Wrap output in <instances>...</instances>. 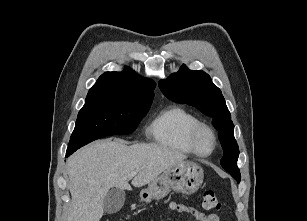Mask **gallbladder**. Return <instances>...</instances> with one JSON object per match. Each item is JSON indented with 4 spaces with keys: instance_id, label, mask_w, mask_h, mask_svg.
<instances>
[{
    "instance_id": "gallbladder-1",
    "label": "gallbladder",
    "mask_w": 307,
    "mask_h": 221,
    "mask_svg": "<svg viewBox=\"0 0 307 221\" xmlns=\"http://www.w3.org/2000/svg\"><path fill=\"white\" fill-rule=\"evenodd\" d=\"M125 201V192L118 188L109 190L104 198V211L107 214L117 213Z\"/></svg>"
}]
</instances>
